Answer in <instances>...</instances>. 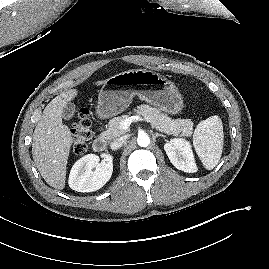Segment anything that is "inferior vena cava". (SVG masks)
Listing matches in <instances>:
<instances>
[{
	"label": "inferior vena cava",
	"mask_w": 269,
	"mask_h": 269,
	"mask_svg": "<svg viewBox=\"0 0 269 269\" xmlns=\"http://www.w3.org/2000/svg\"><path fill=\"white\" fill-rule=\"evenodd\" d=\"M122 144H123V139L119 138V139L114 140L111 143L110 147L112 150H116V149L120 148L122 146Z\"/></svg>",
	"instance_id": "inferior-vena-cava-1"
}]
</instances>
